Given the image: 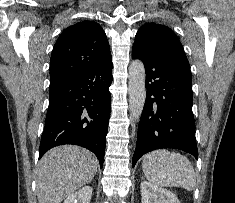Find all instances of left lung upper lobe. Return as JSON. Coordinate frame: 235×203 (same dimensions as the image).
I'll list each match as a JSON object with an SVG mask.
<instances>
[{"label":"left lung upper lobe","mask_w":235,"mask_h":203,"mask_svg":"<svg viewBox=\"0 0 235 203\" xmlns=\"http://www.w3.org/2000/svg\"><path fill=\"white\" fill-rule=\"evenodd\" d=\"M133 46L161 55L190 68L182 44L176 34L164 25L147 23L137 32Z\"/></svg>","instance_id":"obj_1"}]
</instances>
